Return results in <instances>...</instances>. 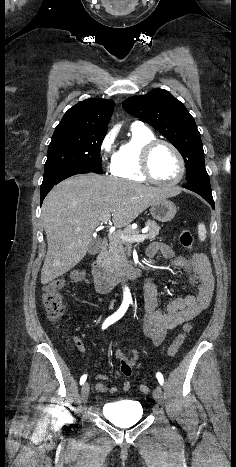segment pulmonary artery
<instances>
[{"instance_id":"pulmonary-artery-1","label":"pulmonary artery","mask_w":236,"mask_h":467,"mask_svg":"<svg viewBox=\"0 0 236 467\" xmlns=\"http://www.w3.org/2000/svg\"><path fill=\"white\" fill-rule=\"evenodd\" d=\"M132 125L143 126V123L141 121H135Z\"/></svg>"}]
</instances>
